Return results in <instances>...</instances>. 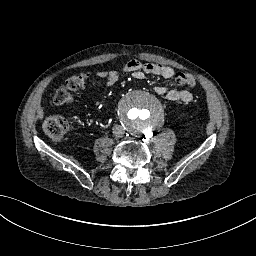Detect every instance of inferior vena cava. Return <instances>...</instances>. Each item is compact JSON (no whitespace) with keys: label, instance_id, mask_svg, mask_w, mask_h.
<instances>
[{"label":"inferior vena cava","instance_id":"602c4592","mask_svg":"<svg viewBox=\"0 0 256 256\" xmlns=\"http://www.w3.org/2000/svg\"><path fill=\"white\" fill-rule=\"evenodd\" d=\"M125 133L124 128L121 125H115L113 127V135L116 137H122Z\"/></svg>","mask_w":256,"mask_h":256}]
</instances>
